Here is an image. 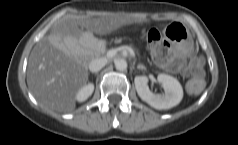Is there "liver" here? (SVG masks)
Masks as SVG:
<instances>
[{
  "mask_svg": "<svg viewBox=\"0 0 238 145\" xmlns=\"http://www.w3.org/2000/svg\"><path fill=\"white\" fill-rule=\"evenodd\" d=\"M135 14L107 12L97 18L76 17L58 22L31 51L27 84L35 98L58 112L74 110L75 95L88 81L89 52L77 51L84 29L105 35L140 22Z\"/></svg>",
  "mask_w": 238,
  "mask_h": 145,
  "instance_id": "1",
  "label": "liver"
}]
</instances>
